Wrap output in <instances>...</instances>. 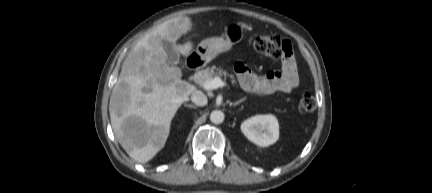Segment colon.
<instances>
[{
  "instance_id": "1",
  "label": "colon",
  "mask_w": 432,
  "mask_h": 193,
  "mask_svg": "<svg viewBox=\"0 0 432 193\" xmlns=\"http://www.w3.org/2000/svg\"><path fill=\"white\" fill-rule=\"evenodd\" d=\"M251 42L254 49L263 56L275 59L292 57L290 42L278 35H257L252 38ZM315 106V98L310 93H304L298 103V109L302 113L313 111Z\"/></svg>"
}]
</instances>
